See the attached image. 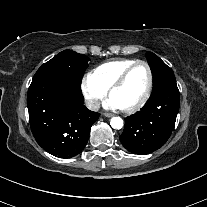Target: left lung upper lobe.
<instances>
[{
	"instance_id": "obj_1",
	"label": "left lung upper lobe",
	"mask_w": 207,
	"mask_h": 207,
	"mask_svg": "<svg viewBox=\"0 0 207 207\" xmlns=\"http://www.w3.org/2000/svg\"><path fill=\"white\" fill-rule=\"evenodd\" d=\"M146 58L153 74V92L168 86H177L172 69L168 67L158 56L148 51Z\"/></svg>"
}]
</instances>
